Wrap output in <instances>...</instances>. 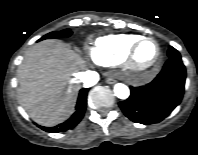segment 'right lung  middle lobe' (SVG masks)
I'll use <instances>...</instances> for the list:
<instances>
[{"instance_id":"dd1d6c3e","label":"right lung middle lobe","mask_w":198,"mask_h":155,"mask_svg":"<svg viewBox=\"0 0 198 155\" xmlns=\"http://www.w3.org/2000/svg\"><path fill=\"white\" fill-rule=\"evenodd\" d=\"M71 34H72V32L69 29H65L63 31V33H60V32H51V33H48L45 36H43L40 40L49 39V38H58V37H61V36L68 37Z\"/></svg>"}]
</instances>
